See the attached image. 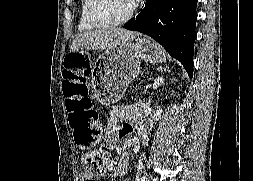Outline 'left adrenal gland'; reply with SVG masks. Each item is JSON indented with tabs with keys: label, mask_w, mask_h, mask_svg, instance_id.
<instances>
[{
	"label": "left adrenal gland",
	"mask_w": 253,
	"mask_h": 181,
	"mask_svg": "<svg viewBox=\"0 0 253 181\" xmlns=\"http://www.w3.org/2000/svg\"><path fill=\"white\" fill-rule=\"evenodd\" d=\"M165 71H168V72H170V69H169L168 67H166Z\"/></svg>",
	"instance_id": "a2214340"
}]
</instances>
